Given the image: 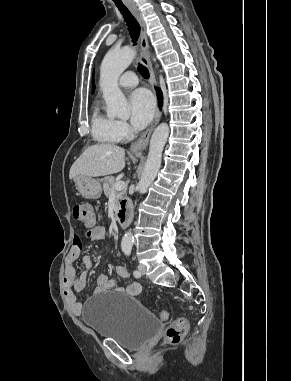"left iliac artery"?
Instances as JSON below:
<instances>
[{
	"label": "left iliac artery",
	"instance_id": "left-iliac-artery-1",
	"mask_svg": "<svg viewBox=\"0 0 291 381\" xmlns=\"http://www.w3.org/2000/svg\"><path fill=\"white\" fill-rule=\"evenodd\" d=\"M124 252L127 256H130V254H131L130 250H125ZM133 275H134V277L139 278L141 276V273L138 270H134Z\"/></svg>",
	"mask_w": 291,
	"mask_h": 381
}]
</instances>
